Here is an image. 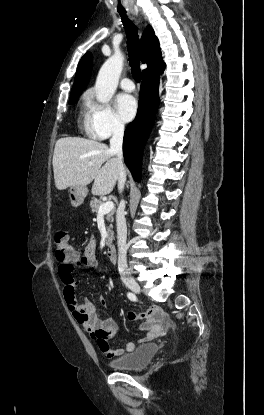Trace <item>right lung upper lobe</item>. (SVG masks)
<instances>
[{"instance_id":"1","label":"right lung upper lobe","mask_w":264,"mask_h":415,"mask_svg":"<svg viewBox=\"0 0 264 415\" xmlns=\"http://www.w3.org/2000/svg\"><path fill=\"white\" fill-rule=\"evenodd\" d=\"M141 60L148 67L143 70V76L162 74L165 69V63L161 57V49L158 38L150 25L144 31L141 38ZM92 70V56L86 53L80 60L78 69L75 74L74 84L71 90V96L80 95L87 86Z\"/></svg>"}]
</instances>
